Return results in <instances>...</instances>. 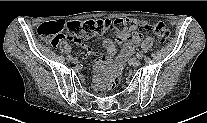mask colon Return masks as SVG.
Returning <instances> with one entry per match:
<instances>
[{"label":"colon","instance_id":"colon-1","mask_svg":"<svg viewBox=\"0 0 207 123\" xmlns=\"http://www.w3.org/2000/svg\"><path fill=\"white\" fill-rule=\"evenodd\" d=\"M110 28H116L121 31H130L136 28H142L146 31L153 32L162 43H168L171 39V33L163 23H152L147 21H138L132 18H121L113 23L107 19H90L85 21H71L66 25L67 38L70 40H78L81 38H89L100 35ZM64 29L62 21H51L40 24L37 27V35L48 40L52 46H57L63 35ZM125 60L119 59L120 64ZM117 83V77L109 78L105 84L106 89H112Z\"/></svg>","mask_w":207,"mask_h":123}]
</instances>
